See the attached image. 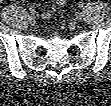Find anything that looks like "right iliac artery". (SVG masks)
I'll return each mask as SVG.
<instances>
[{"label":"right iliac artery","mask_w":111,"mask_h":106,"mask_svg":"<svg viewBox=\"0 0 111 106\" xmlns=\"http://www.w3.org/2000/svg\"><path fill=\"white\" fill-rule=\"evenodd\" d=\"M30 13L34 14L35 13V9L33 7L29 8Z\"/></svg>","instance_id":"right-iliac-artery-1"}]
</instances>
